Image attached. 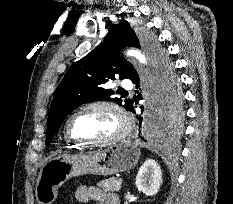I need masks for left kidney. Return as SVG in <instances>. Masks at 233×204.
<instances>
[{"mask_svg": "<svg viewBox=\"0 0 233 204\" xmlns=\"http://www.w3.org/2000/svg\"><path fill=\"white\" fill-rule=\"evenodd\" d=\"M162 183V172L158 163L148 159L140 167L136 176V187L147 196L157 194Z\"/></svg>", "mask_w": 233, "mask_h": 204, "instance_id": "5707ae66", "label": "left kidney"}]
</instances>
